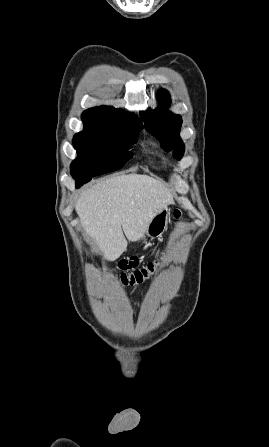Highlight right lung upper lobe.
<instances>
[{"label":"right lung upper lobe","mask_w":269,"mask_h":447,"mask_svg":"<svg viewBox=\"0 0 269 447\" xmlns=\"http://www.w3.org/2000/svg\"><path fill=\"white\" fill-rule=\"evenodd\" d=\"M84 122L97 123L108 126L141 125L140 119L131 113H127L111 106H99L87 109L82 114Z\"/></svg>","instance_id":"1"}]
</instances>
